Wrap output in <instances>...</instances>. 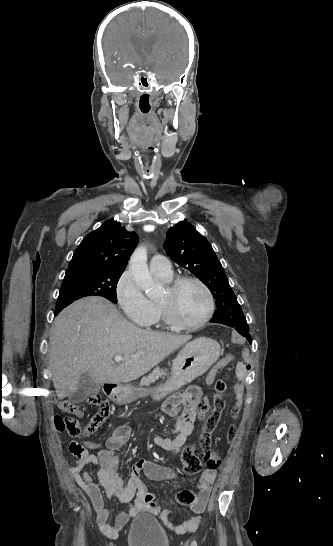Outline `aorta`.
I'll return each instance as SVG.
<instances>
[{
  "mask_svg": "<svg viewBox=\"0 0 333 546\" xmlns=\"http://www.w3.org/2000/svg\"><path fill=\"white\" fill-rule=\"evenodd\" d=\"M129 270L137 286L148 296H152L155 288V281L147 265V249L137 248L131 255Z\"/></svg>",
  "mask_w": 333,
  "mask_h": 546,
  "instance_id": "1",
  "label": "aorta"
}]
</instances>
